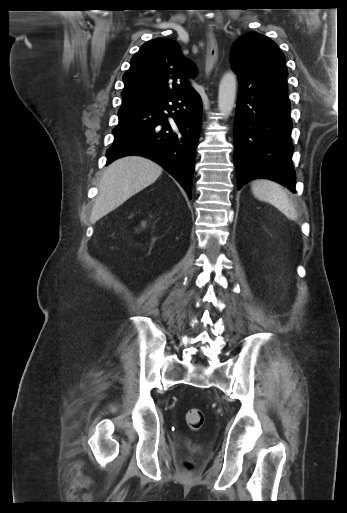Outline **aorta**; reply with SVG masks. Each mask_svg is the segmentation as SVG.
<instances>
[{
	"mask_svg": "<svg viewBox=\"0 0 347 513\" xmlns=\"http://www.w3.org/2000/svg\"><path fill=\"white\" fill-rule=\"evenodd\" d=\"M236 95V75L233 72H227L221 79L218 93V107L223 115L231 114Z\"/></svg>",
	"mask_w": 347,
	"mask_h": 513,
	"instance_id": "aorta-1",
	"label": "aorta"
}]
</instances>
